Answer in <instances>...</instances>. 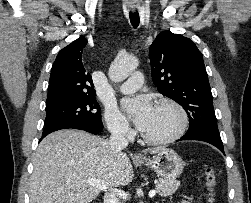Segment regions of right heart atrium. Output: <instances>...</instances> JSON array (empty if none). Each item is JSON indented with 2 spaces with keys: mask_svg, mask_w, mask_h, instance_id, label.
Returning <instances> with one entry per match:
<instances>
[{
  "mask_svg": "<svg viewBox=\"0 0 251 203\" xmlns=\"http://www.w3.org/2000/svg\"><path fill=\"white\" fill-rule=\"evenodd\" d=\"M105 122L109 132L117 137H129L132 133L126 118L114 107L105 110Z\"/></svg>",
  "mask_w": 251,
  "mask_h": 203,
  "instance_id": "obj_1",
  "label": "right heart atrium"
}]
</instances>
